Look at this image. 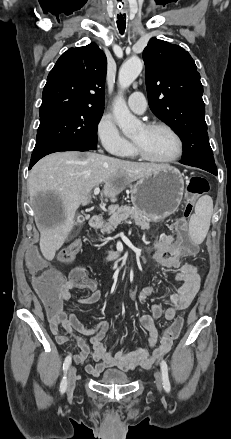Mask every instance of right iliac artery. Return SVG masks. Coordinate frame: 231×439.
Segmentation results:
<instances>
[{
  "label": "right iliac artery",
  "mask_w": 231,
  "mask_h": 439,
  "mask_svg": "<svg viewBox=\"0 0 231 439\" xmlns=\"http://www.w3.org/2000/svg\"><path fill=\"white\" fill-rule=\"evenodd\" d=\"M70 364H71V355H68L65 358V361H64V364H63L64 376H63L62 381L60 383V391H61L62 394L67 389V377H66V374H67V370H68Z\"/></svg>",
  "instance_id": "obj_1"
}]
</instances>
